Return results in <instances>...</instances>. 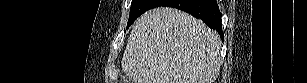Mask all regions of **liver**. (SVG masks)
I'll use <instances>...</instances> for the list:
<instances>
[{"label": "liver", "mask_w": 307, "mask_h": 83, "mask_svg": "<svg viewBox=\"0 0 307 83\" xmlns=\"http://www.w3.org/2000/svg\"><path fill=\"white\" fill-rule=\"evenodd\" d=\"M217 32L171 7L144 13L135 22L122 58L134 83H214L221 66Z\"/></svg>", "instance_id": "6515ba94"}]
</instances>
